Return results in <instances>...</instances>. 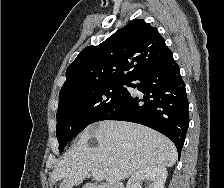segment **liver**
Returning <instances> with one entry per match:
<instances>
[{
	"instance_id": "1",
	"label": "liver",
	"mask_w": 224,
	"mask_h": 188,
	"mask_svg": "<svg viewBox=\"0 0 224 188\" xmlns=\"http://www.w3.org/2000/svg\"><path fill=\"white\" fill-rule=\"evenodd\" d=\"M95 138L96 147L88 141ZM177 150L170 139L148 127L122 121H101L82 132L74 148L65 153L51 174L60 188L80 185L92 168L104 173L107 188L153 165L172 167Z\"/></svg>"
}]
</instances>
